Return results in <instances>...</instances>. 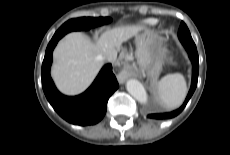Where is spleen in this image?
<instances>
[{
  "label": "spleen",
  "instance_id": "3e777b00",
  "mask_svg": "<svg viewBox=\"0 0 230 155\" xmlns=\"http://www.w3.org/2000/svg\"><path fill=\"white\" fill-rule=\"evenodd\" d=\"M158 96L163 106L172 110L183 102L187 86L184 77L180 74H170L164 77L157 87Z\"/></svg>",
  "mask_w": 230,
  "mask_h": 155
}]
</instances>
